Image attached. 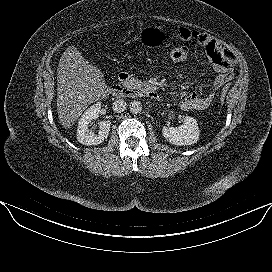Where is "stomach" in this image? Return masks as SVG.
I'll return each instance as SVG.
<instances>
[{
	"label": "stomach",
	"mask_w": 272,
	"mask_h": 272,
	"mask_svg": "<svg viewBox=\"0 0 272 272\" xmlns=\"http://www.w3.org/2000/svg\"><path fill=\"white\" fill-rule=\"evenodd\" d=\"M163 31L161 27L146 26L140 32V40L143 45L147 47H153L160 43L163 39Z\"/></svg>",
	"instance_id": "obj_1"
}]
</instances>
